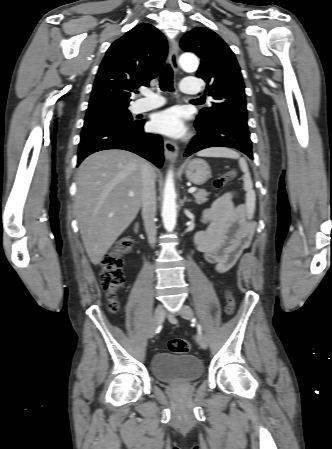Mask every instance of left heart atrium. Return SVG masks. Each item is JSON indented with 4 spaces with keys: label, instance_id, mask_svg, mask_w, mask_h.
Listing matches in <instances>:
<instances>
[{
    "label": "left heart atrium",
    "instance_id": "obj_1",
    "mask_svg": "<svg viewBox=\"0 0 332 449\" xmlns=\"http://www.w3.org/2000/svg\"><path fill=\"white\" fill-rule=\"evenodd\" d=\"M151 129L168 136H180L185 131L184 120L178 108L156 113L151 120Z\"/></svg>",
    "mask_w": 332,
    "mask_h": 449
}]
</instances>
